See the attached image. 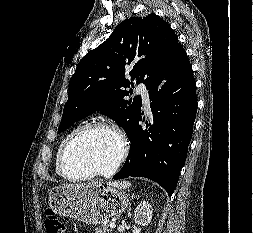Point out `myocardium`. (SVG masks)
<instances>
[{"instance_id":"f54148a6","label":"myocardium","mask_w":253,"mask_h":233,"mask_svg":"<svg viewBox=\"0 0 253 233\" xmlns=\"http://www.w3.org/2000/svg\"><path fill=\"white\" fill-rule=\"evenodd\" d=\"M100 129L112 132L113 134L117 136L119 140L120 152L115 163L108 170H93L91 172H88L80 176H72L68 174L66 170V157L71 146L76 142V140H78L85 133L94 131V130H100ZM128 153H129L128 139L125 133L118 126L112 123L102 122V121L88 123L80 127L66 142L60 156V162H59L60 172L62 176L69 181H83V180H87L96 176L108 177V176L113 175L121 167V165L125 162L128 156Z\"/></svg>"}]
</instances>
